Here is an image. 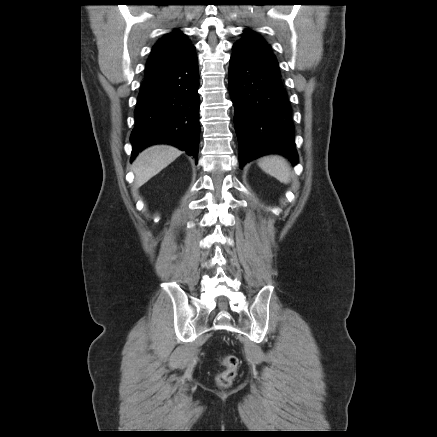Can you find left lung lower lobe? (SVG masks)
Here are the masks:
<instances>
[{"instance_id":"left-lung-lower-lobe-1","label":"left lung lower lobe","mask_w":437,"mask_h":437,"mask_svg":"<svg viewBox=\"0 0 437 437\" xmlns=\"http://www.w3.org/2000/svg\"><path fill=\"white\" fill-rule=\"evenodd\" d=\"M232 49L228 78L240 167L269 153L298 163L291 106L280 71L241 44Z\"/></svg>"}]
</instances>
